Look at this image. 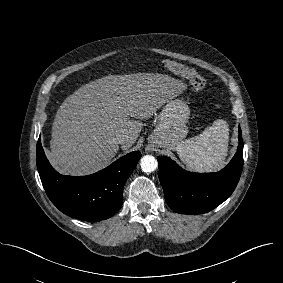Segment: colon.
<instances>
[{"label":"colon","mask_w":283,"mask_h":283,"mask_svg":"<svg viewBox=\"0 0 283 283\" xmlns=\"http://www.w3.org/2000/svg\"><path fill=\"white\" fill-rule=\"evenodd\" d=\"M162 65L166 69L176 74H179L180 76L188 80L196 92H202L206 89L207 86L206 80L204 79V77L198 74L194 69L169 59L163 60Z\"/></svg>","instance_id":"1"}]
</instances>
